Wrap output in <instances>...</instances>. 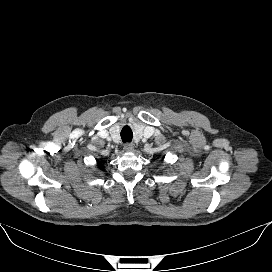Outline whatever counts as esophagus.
<instances>
[{"label": "esophagus", "instance_id": "34e87169", "mask_svg": "<svg viewBox=\"0 0 272 272\" xmlns=\"http://www.w3.org/2000/svg\"><path fill=\"white\" fill-rule=\"evenodd\" d=\"M124 149L127 152H132L134 150V144L133 143H126L124 145Z\"/></svg>", "mask_w": 272, "mask_h": 272}]
</instances>
